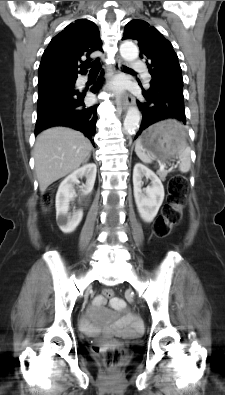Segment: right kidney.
Wrapping results in <instances>:
<instances>
[{"label":"right kidney","mask_w":225,"mask_h":395,"mask_svg":"<svg viewBox=\"0 0 225 395\" xmlns=\"http://www.w3.org/2000/svg\"><path fill=\"white\" fill-rule=\"evenodd\" d=\"M97 168L93 163L86 164L67 176L60 184L56 194V222L64 233L73 232L82 220L81 210L69 213L70 200L75 195L74 184L79 178L86 177V183L82 187V194L88 195L94 187Z\"/></svg>","instance_id":"1"}]
</instances>
